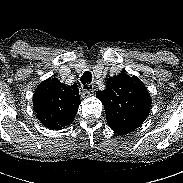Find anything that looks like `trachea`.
Listing matches in <instances>:
<instances>
[{
	"label": "trachea",
	"mask_w": 183,
	"mask_h": 183,
	"mask_svg": "<svg viewBox=\"0 0 183 183\" xmlns=\"http://www.w3.org/2000/svg\"><path fill=\"white\" fill-rule=\"evenodd\" d=\"M91 78H92V75H91V72L89 71H85L84 74L81 76L80 80L84 85V89H91V87H87V85H85L91 82L92 80Z\"/></svg>",
	"instance_id": "trachea-1"
}]
</instances>
